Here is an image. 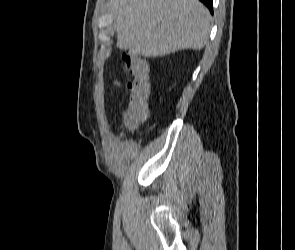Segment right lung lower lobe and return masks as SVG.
Listing matches in <instances>:
<instances>
[{"label":"right lung lower lobe","instance_id":"98d812e1","mask_svg":"<svg viewBox=\"0 0 295 250\" xmlns=\"http://www.w3.org/2000/svg\"><path fill=\"white\" fill-rule=\"evenodd\" d=\"M203 2L210 10L211 13H213V0H200Z\"/></svg>","mask_w":295,"mask_h":250}]
</instances>
